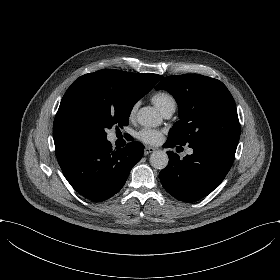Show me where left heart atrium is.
<instances>
[{
    "label": "left heart atrium",
    "instance_id": "left-heart-atrium-1",
    "mask_svg": "<svg viewBox=\"0 0 280 280\" xmlns=\"http://www.w3.org/2000/svg\"><path fill=\"white\" fill-rule=\"evenodd\" d=\"M136 138L144 143L155 144L160 140L161 134L157 130L143 128L136 133Z\"/></svg>",
    "mask_w": 280,
    "mask_h": 280
}]
</instances>
